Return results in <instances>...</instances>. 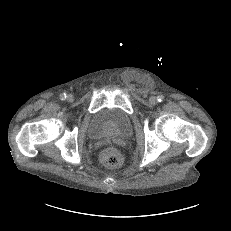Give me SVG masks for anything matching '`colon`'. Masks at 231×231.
Returning a JSON list of instances; mask_svg holds the SVG:
<instances>
[{"label": "colon", "instance_id": "1", "mask_svg": "<svg viewBox=\"0 0 231 231\" xmlns=\"http://www.w3.org/2000/svg\"><path fill=\"white\" fill-rule=\"evenodd\" d=\"M100 158L102 163L108 167L119 166L122 162V156L120 152L114 147L105 148L101 152Z\"/></svg>", "mask_w": 231, "mask_h": 231}]
</instances>
